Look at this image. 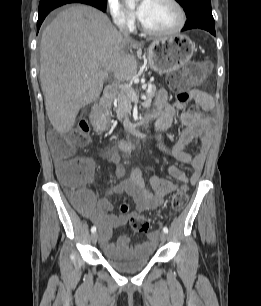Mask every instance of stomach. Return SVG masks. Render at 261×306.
Listing matches in <instances>:
<instances>
[{
    "label": "stomach",
    "instance_id": "0dacf381",
    "mask_svg": "<svg viewBox=\"0 0 261 306\" xmlns=\"http://www.w3.org/2000/svg\"><path fill=\"white\" fill-rule=\"evenodd\" d=\"M195 51V44L183 34H177L152 41L147 50V61L150 68L162 74L179 70L188 63ZM107 119L100 116L92 118L93 126L103 131L107 128Z\"/></svg>",
    "mask_w": 261,
    "mask_h": 306
}]
</instances>
